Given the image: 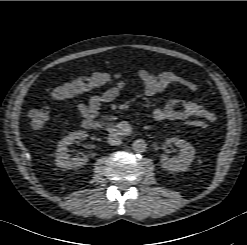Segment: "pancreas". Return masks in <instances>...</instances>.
<instances>
[{
  "label": "pancreas",
  "instance_id": "1",
  "mask_svg": "<svg viewBox=\"0 0 247 245\" xmlns=\"http://www.w3.org/2000/svg\"><path fill=\"white\" fill-rule=\"evenodd\" d=\"M103 120L110 121V120H113V118H110L108 116H103Z\"/></svg>",
  "mask_w": 247,
  "mask_h": 245
}]
</instances>
